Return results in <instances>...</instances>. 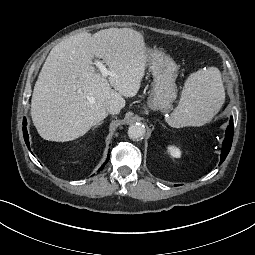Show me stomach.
<instances>
[{"instance_id": "0dacf381", "label": "stomach", "mask_w": 255, "mask_h": 255, "mask_svg": "<svg viewBox=\"0 0 255 255\" xmlns=\"http://www.w3.org/2000/svg\"><path fill=\"white\" fill-rule=\"evenodd\" d=\"M146 62L153 76V87L147 106L153 111L166 113L177 97L175 80L178 66L175 61L160 50H147Z\"/></svg>"}]
</instances>
